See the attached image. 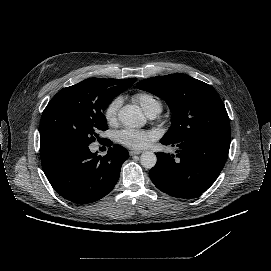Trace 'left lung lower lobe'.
Segmentation results:
<instances>
[{
  "mask_svg": "<svg viewBox=\"0 0 271 271\" xmlns=\"http://www.w3.org/2000/svg\"><path fill=\"white\" fill-rule=\"evenodd\" d=\"M164 145L179 147L175 155L159 152L149 176L154 185L178 198L196 197L206 191L219 176L228 156L230 136L200 133L182 142L161 139Z\"/></svg>",
  "mask_w": 271,
  "mask_h": 271,
  "instance_id": "0a47b994",
  "label": "left lung lower lobe"
}]
</instances>
